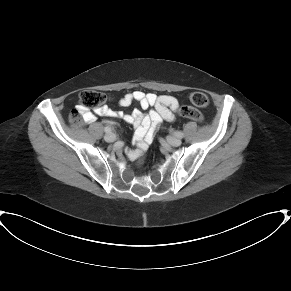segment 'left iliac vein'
<instances>
[{
  "mask_svg": "<svg viewBox=\"0 0 291 291\" xmlns=\"http://www.w3.org/2000/svg\"><path fill=\"white\" fill-rule=\"evenodd\" d=\"M167 142L172 146H179L181 144V140L174 136H168Z\"/></svg>",
  "mask_w": 291,
  "mask_h": 291,
  "instance_id": "left-iliac-vein-1",
  "label": "left iliac vein"
}]
</instances>
